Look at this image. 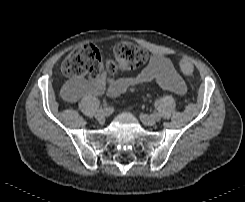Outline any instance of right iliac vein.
Returning <instances> with one entry per match:
<instances>
[{
  "instance_id": "1",
  "label": "right iliac vein",
  "mask_w": 245,
  "mask_h": 202,
  "mask_svg": "<svg viewBox=\"0 0 245 202\" xmlns=\"http://www.w3.org/2000/svg\"><path fill=\"white\" fill-rule=\"evenodd\" d=\"M107 115H109V113L106 110H98L95 114V117L98 120H102Z\"/></svg>"
}]
</instances>
